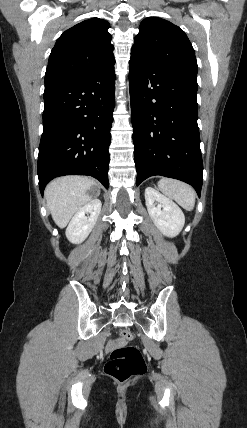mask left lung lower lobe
I'll list each match as a JSON object with an SVG mask.
<instances>
[{"label": "left lung lower lobe", "mask_w": 247, "mask_h": 428, "mask_svg": "<svg viewBox=\"0 0 247 428\" xmlns=\"http://www.w3.org/2000/svg\"><path fill=\"white\" fill-rule=\"evenodd\" d=\"M129 84L137 185L154 175L202 187L197 84L131 55Z\"/></svg>", "instance_id": "1"}]
</instances>
